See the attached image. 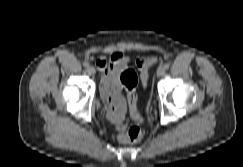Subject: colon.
<instances>
[{
	"label": "colon",
	"mask_w": 243,
	"mask_h": 167,
	"mask_svg": "<svg viewBox=\"0 0 243 167\" xmlns=\"http://www.w3.org/2000/svg\"><path fill=\"white\" fill-rule=\"evenodd\" d=\"M157 61L156 57H142L136 61V67L139 70L140 77L143 83H146L148 78V69ZM120 82L127 91L128 100L131 106L136 105L135 89L138 82L137 73L132 69H125L120 74ZM137 116V115H136ZM121 132L118 139L122 143H136L142 138V131L136 124L120 125Z\"/></svg>",
	"instance_id": "5ec220e1"
}]
</instances>
